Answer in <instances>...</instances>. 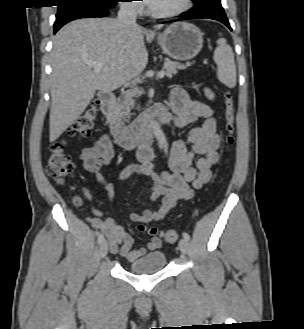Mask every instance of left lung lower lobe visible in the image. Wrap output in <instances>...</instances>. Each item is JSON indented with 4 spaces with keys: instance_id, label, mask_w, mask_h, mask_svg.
<instances>
[{
    "instance_id": "1",
    "label": "left lung lower lobe",
    "mask_w": 304,
    "mask_h": 329,
    "mask_svg": "<svg viewBox=\"0 0 304 329\" xmlns=\"http://www.w3.org/2000/svg\"><path fill=\"white\" fill-rule=\"evenodd\" d=\"M194 3L196 4L195 7L190 11L184 12L181 18L163 23L197 18H209L222 22L232 30L220 0H195Z\"/></svg>"
}]
</instances>
